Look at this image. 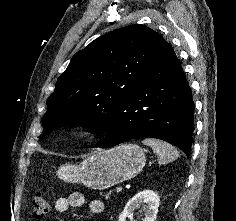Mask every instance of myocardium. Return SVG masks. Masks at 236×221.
Here are the masks:
<instances>
[{
	"mask_svg": "<svg viewBox=\"0 0 236 221\" xmlns=\"http://www.w3.org/2000/svg\"><path fill=\"white\" fill-rule=\"evenodd\" d=\"M74 133L77 134V135H82V134L85 133V131H84L83 129H76V130L74 131Z\"/></svg>",
	"mask_w": 236,
	"mask_h": 221,
	"instance_id": "myocardium-1",
	"label": "myocardium"
}]
</instances>
